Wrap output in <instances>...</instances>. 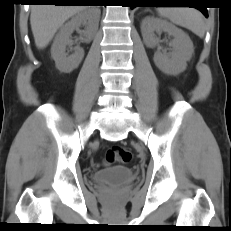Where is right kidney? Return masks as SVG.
Listing matches in <instances>:
<instances>
[{
  "label": "right kidney",
  "mask_w": 231,
  "mask_h": 231,
  "mask_svg": "<svg viewBox=\"0 0 231 231\" xmlns=\"http://www.w3.org/2000/svg\"><path fill=\"white\" fill-rule=\"evenodd\" d=\"M99 18L100 11L98 9H86L61 27L51 47V56L61 72L70 73L78 67L84 57V50L80 47H75L72 55H68L66 52V47L72 45L70 36L73 31L84 25L83 36L85 40H91L98 30Z\"/></svg>",
  "instance_id": "1"
}]
</instances>
